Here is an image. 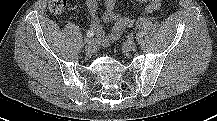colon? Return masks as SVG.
<instances>
[{"mask_svg":"<svg viewBox=\"0 0 217 121\" xmlns=\"http://www.w3.org/2000/svg\"><path fill=\"white\" fill-rule=\"evenodd\" d=\"M68 2L69 0H51L49 9L52 13H61L66 9Z\"/></svg>","mask_w":217,"mask_h":121,"instance_id":"obj_1","label":"colon"}]
</instances>
